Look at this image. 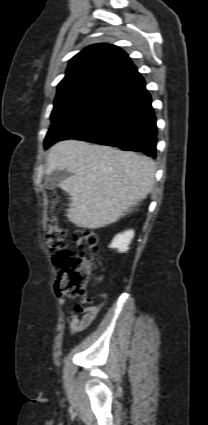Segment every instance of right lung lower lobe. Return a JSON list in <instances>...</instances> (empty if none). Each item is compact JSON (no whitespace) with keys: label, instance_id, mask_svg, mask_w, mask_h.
<instances>
[{"label":"right lung lower lobe","instance_id":"98d812e1","mask_svg":"<svg viewBox=\"0 0 208 425\" xmlns=\"http://www.w3.org/2000/svg\"><path fill=\"white\" fill-rule=\"evenodd\" d=\"M151 102L143 77L132 66L94 100L62 116L49 131L52 144L77 139L155 158L157 127Z\"/></svg>","mask_w":208,"mask_h":425}]
</instances>
